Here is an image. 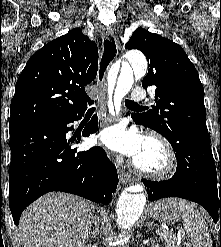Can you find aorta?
<instances>
[{
  "label": "aorta",
  "mask_w": 221,
  "mask_h": 247,
  "mask_svg": "<svg viewBox=\"0 0 221 247\" xmlns=\"http://www.w3.org/2000/svg\"><path fill=\"white\" fill-rule=\"evenodd\" d=\"M127 59V75L136 78L145 75L147 70V61L145 56L138 51H129L126 53ZM120 65L115 64L108 74V93L111 101L113 89L118 77ZM146 203V195L144 193L131 194L126 191L122 192L117 202L116 222L122 229L130 228L140 217Z\"/></svg>",
  "instance_id": "1"
}]
</instances>
